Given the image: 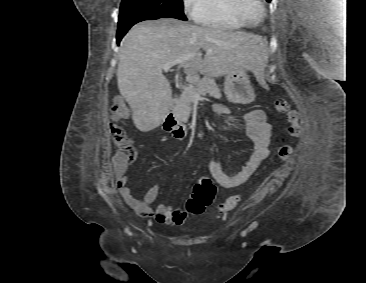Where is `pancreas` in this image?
I'll return each instance as SVG.
<instances>
[{"instance_id":"cf45deb5","label":"pancreas","mask_w":366,"mask_h":283,"mask_svg":"<svg viewBox=\"0 0 366 283\" xmlns=\"http://www.w3.org/2000/svg\"><path fill=\"white\" fill-rule=\"evenodd\" d=\"M190 85L193 90L183 91L177 103V115L182 122H187L191 114V104L197 95L204 96L209 94L215 99L221 98V92L215 81L209 77L200 79L196 75L190 77Z\"/></svg>"}]
</instances>
